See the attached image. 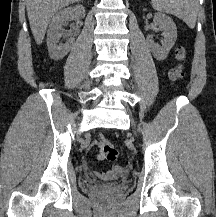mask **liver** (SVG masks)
<instances>
[{"label":"liver","mask_w":216,"mask_h":217,"mask_svg":"<svg viewBox=\"0 0 216 217\" xmlns=\"http://www.w3.org/2000/svg\"><path fill=\"white\" fill-rule=\"evenodd\" d=\"M80 0H26L30 28L37 44H41L52 16L64 6Z\"/></svg>","instance_id":"1"}]
</instances>
